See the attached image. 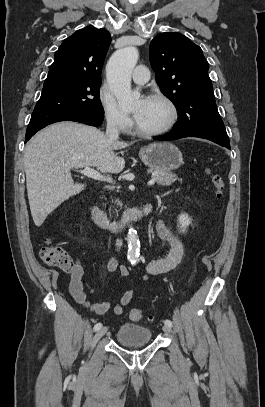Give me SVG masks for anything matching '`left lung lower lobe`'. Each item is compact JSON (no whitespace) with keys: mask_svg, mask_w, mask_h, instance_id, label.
I'll return each mask as SVG.
<instances>
[{"mask_svg":"<svg viewBox=\"0 0 265 407\" xmlns=\"http://www.w3.org/2000/svg\"><path fill=\"white\" fill-rule=\"evenodd\" d=\"M184 137H199V138L208 139V140H211V141H213V142H215V143H217V144H219L221 146H224V147L230 149V144L229 143H221V142H218V141L206 138V137H202V136L194 135V134H187V133H183V134L170 133V134H167V135L158 136V137H156V139L160 140V141H166V140L179 139V138H184Z\"/></svg>","mask_w":265,"mask_h":407,"instance_id":"left-lung-lower-lobe-1","label":"left lung lower lobe"}]
</instances>
